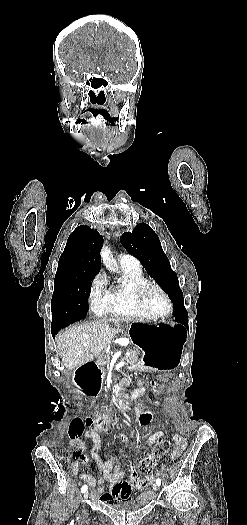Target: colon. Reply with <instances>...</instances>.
<instances>
[{
	"instance_id": "obj_1",
	"label": "colon",
	"mask_w": 247,
	"mask_h": 525,
	"mask_svg": "<svg viewBox=\"0 0 247 525\" xmlns=\"http://www.w3.org/2000/svg\"><path fill=\"white\" fill-rule=\"evenodd\" d=\"M161 383L158 380L152 381L147 380L145 382V387L147 389H158L160 388ZM153 398L155 400L154 403L145 402L143 404V409L148 413H142L140 415V418L137 417H126V418H110V417H97V418H89L85 421V424L89 427H96V430H101L103 432H118V431H125V427L127 431H134V428L137 429H145L147 428V424L151 425L153 423L152 419H155V414H151L154 411L159 410L160 404L162 403V400L164 398L163 392H156L153 395ZM80 421L75 422V427H73L70 430V435L73 438H80L83 435V430L80 427H77L80 425ZM170 445L168 441H161L157 444V447L155 451L149 453L148 455L143 458L138 465V472L140 475L146 476L149 475L156 463L164 457L166 452L168 451ZM133 481V480H132Z\"/></svg>"
}]
</instances>
